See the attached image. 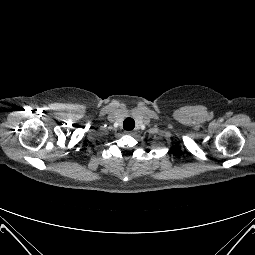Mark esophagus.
Listing matches in <instances>:
<instances>
[{
	"mask_svg": "<svg viewBox=\"0 0 255 255\" xmlns=\"http://www.w3.org/2000/svg\"><path fill=\"white\" fill-rule=\"evenodd\" d=\"M134 133H135L134 130H128V131H126V134H129V135H133Z\"/></svg>",
	"mask_w": 255,
	"mask_h": 255,
	"instance_id": "obj_1",
	"label": "esophagus"
}]
</instances>
